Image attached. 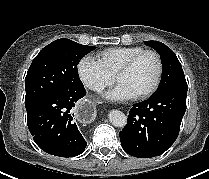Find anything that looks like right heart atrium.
I'll return each mask as SVG.
<instances>
[{"instance_id": "obj_1", "label": "right heart atrium", "mask_w": 209, "mask_h": 179, "mask_svg": "<svg viewBox=\"0 0 209 179\" xmlns=\"http://www.w3.org/2000/svg\"><path fill=\"white\" fill-rule=\"evenodd\" d=\"M77 70L81 81L91 91L100 92L113 82V77L89 56L83 57L79 61Z\"/></svg>"}]
</instances>
